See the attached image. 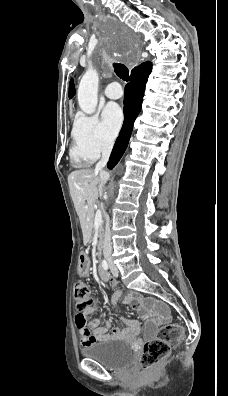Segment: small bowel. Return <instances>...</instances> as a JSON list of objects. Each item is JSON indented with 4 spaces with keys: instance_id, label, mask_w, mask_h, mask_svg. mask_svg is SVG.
Returning <instances> with one entry per match:
<instances>
[{
    "instance_id": "c3829d8e",
    "label": "small bowel",
    "mask_w": 228,
    "mask_h": 396,
    "mask_svg": "<svg viewBox=\"0 0 228 396\" xmlns=\"http://www.w3.org/2000/svg\"><path fill=\"white\" fill-rule=\"evenodd\" d=\"M79 269L83 275L89 272V259L86 255H81L79 259ZM108 284L111 287H117L118 282L108 276ZM119 298H123V304L131 306L138 312L142 319L145 321V335L149 336L157 329V327L166 321H168V315L164 304L150 299L145 298L138 294H125V292L118 288L111 296V308L115 306ZM94 312L93 307H89L86 310V315L90 316ZM121 320L125 323L126 327L119 329L114 328L109 333L110 324L104 315L91 320L87 326L79 329L80 341L83 345H90L95 342L118 339L125 337L137 336L141 327L140 324L135 320H128L121 317Z\"/></svg>"
}]
</instances>
